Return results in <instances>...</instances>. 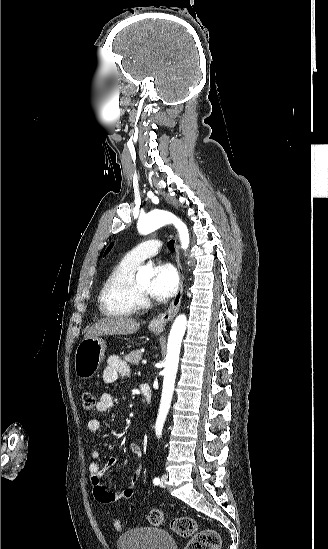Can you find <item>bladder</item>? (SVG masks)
Returning <instances> with one entry per match:
<instances>
[{"mask_svg":"<svg viewBox=\"0 0 328 549\" xmlns=\"http://www.w3.org/2000/svg\"><path fill=\"white\" fill-rule=\"evenodd\" d=\"M133 532L117 538V549H175L172 535L159 528L138 527Z\"/></svg>","mask_w":328,"mask_h":549,"instance_id":"31cf9c89","label":"bladder"}]
</instances>
